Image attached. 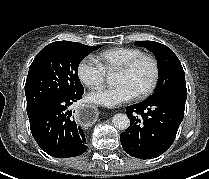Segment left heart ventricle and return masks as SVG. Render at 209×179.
Segmentation results:
<instances>
[{
    "label": "left heart ventricle",
    "instance_id": "obj_1",
    "mask_svg": "<svg viewBox=\"0 0 209 179\" xmlns=\"http://www.w3.org/2000/svg\"><path fill=\"white\" fill-rule=\"evenodd\" d=\"M152 77V63L149 60H143L129 73H116L114 83L127 85L137 95L149 86Z\"/></svg>",
    "mask_w": 209,
    "mask_h": 179
}]
</instances>
